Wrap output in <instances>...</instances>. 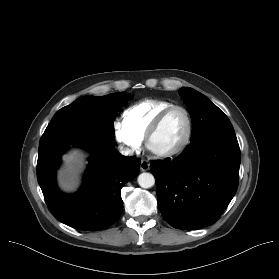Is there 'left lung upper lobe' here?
Returning a JSON list of instances; mask_svg holds the SVG:
<instances>
[{
	"label": "left lung upper lobe",
	"instance_id": "5c2ea615",
	"mask_svg": "<svg viewBox=\"0 0 279 279\" xmlns=\"http://www.w3.org/2000/svg\"><path fill=\"white\" fill-rule=\"evenodd\" d=\"M192 119L191 141L215 132H234L228 117L200 92L183 87L179 91Z\"/></svg>",
	"mask_w": 279,
	"mask_h": 279
}]
</instances>
